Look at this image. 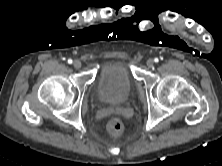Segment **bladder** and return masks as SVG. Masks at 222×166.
I'll return each instance as SVG.
<instances>
[{"label": "bladder", "mask_w": 222, "mask_h": 166, "mask_svg": "<svg viewBox=\"0 0 222 166\" xmlns=\"http://www.w3.org/2000/svg\"><path fill=\"white\" fill-rule=\"evenodd\" d=\"M133 82L128 68L123 64L103 67L95 81V95L104 105L118 106L128 101Z\"/></svg>", "instance_id": "1"}]
</instances>
